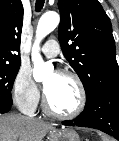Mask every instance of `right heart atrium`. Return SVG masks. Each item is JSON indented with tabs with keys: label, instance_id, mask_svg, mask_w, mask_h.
Listing matches in <instances>:
<instances>
[{
	"label": "right heart atrium",
	"instance_id": "d8ad5b80",
	"mask_svg": "<svg viewBox=\"0 0 119 141\" xmlns=\"http://www.w3.org/2000/svg\"><path fill=\"white\" fill-rule=\"evenodd\" d=\"M12 93L15 104L25 113L35 110L40 100L38 88L25 69L18 71L13 82Z\"/></svg>",
	"mask_w": 119,
	"mask_h": 141
}]
</instances>
